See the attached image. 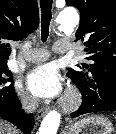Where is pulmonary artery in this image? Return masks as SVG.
Returning a JSON list of instances; mask_svg holds the SVG:
<instances>
[{
    "label": "pulmonary artery",
    "instance_id": "pulmonary-artery-1",
    "mask_svg": "<svg viewBox=\"0 0 116 134\" xmlns=\"http://www.w3.org/2000/svg\"><path fill=\"white\" fill-rule=\"evenodd\" d=\"M73 50V45L67 40H59L55 43L53 51L58 54L68 53ZM50 52L46 49H34L31 52L25 53L24 58L30 63H39L47 60Z\"/></svg>",
    "mask_w": 116,
    "mask_h": 134
}]
</instances>
